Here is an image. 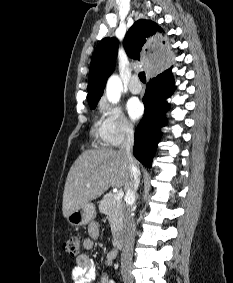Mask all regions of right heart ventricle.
<instances>
[{
  "label": "right heart ventricle",
  "instance_id": "right-heart-ventricle-1",
  "mask_svg": "<svg viewBox=\"0 0 233 283\" xmlns=\"http://www.w3.org/2000/svg\"><path fill=\"white\" fill-rule=\"evenodd\" d=\"M91 133L101 146H106L108 144L106 137H105L104 121L102 119H97L94 122L92 129H91Z\"/></svg>",
  "mask_w": 233,
  "mask_h": 283
}]
</instances>
